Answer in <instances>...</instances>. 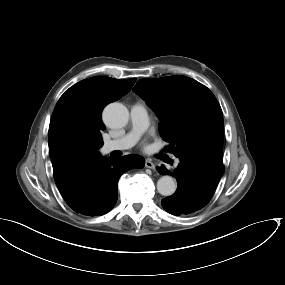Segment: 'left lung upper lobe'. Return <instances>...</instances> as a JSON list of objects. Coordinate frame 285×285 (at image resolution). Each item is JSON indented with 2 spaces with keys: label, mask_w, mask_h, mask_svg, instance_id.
I'll return each instance as SVG.
<instances>
[{
  "label": "left lung upper lobe",
  "mask_w": 285,
  "mask_h": 285,
  "mask_svg": "<svg viewBox=\"0 0 285 285\" xmlns=\"http://www.w3.org/2000/svg\"><path fill=\"white\" fill-rule=\"evenodd\" d=\"M133 91L161 119L160 135L176 157L204 155L223 159V114L213 93L181 76L141 79Z\"/></svg>",
  "instance_id": "1"
}]
</instances>
